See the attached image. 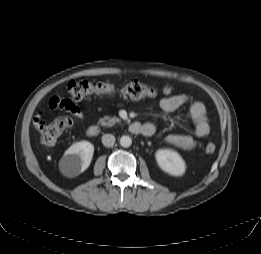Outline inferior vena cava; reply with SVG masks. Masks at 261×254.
Segmentation results:
<instances>
[{
    "mask_svg": "<svg viewBox=\"0 0 261 254\" xmlns=\"http://www.w3.org/2000/svg\"><path fill=\"white\" fill-rule=\"evenodd\" d=\"M102 143L106 147H111L115 143V136L112 134H104L102 136Z\"/></svg>",
    "mask_w": 261,
    "mask_h": 254,
    "instance_id": "inferior-vena-cava-1",
    "label": "inferior vena cava"
}]
</instances>
